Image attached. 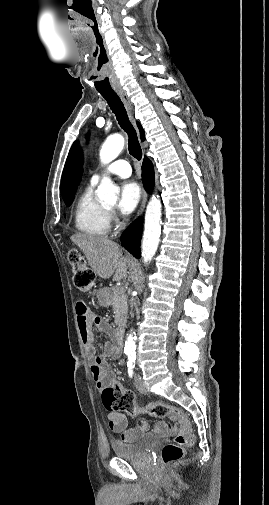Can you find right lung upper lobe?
I'll list each match as a JSON object with an SVG mask.
<instances>
[{"label":"right lung upper lobe","instance_id":"right-lung-upper-lobe-1","mask_svg":"<svg viewBox=\"0 0 269 505\" xmlns=\"http://www.w3.org/2000/svg\"><path fill=\"white\" fill-rule=\"evenodd\" d=\"M137 124L140 129L141 140H144L143 129L139 123ZM82 164V156L79 153L77 142H75L70 149L62 174L61 194L63 200H68L74 196L82 175Z\"/></svg>","mask_w":269,"mask_h":505}]
</instances>
